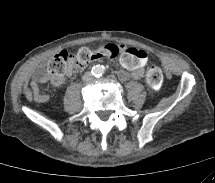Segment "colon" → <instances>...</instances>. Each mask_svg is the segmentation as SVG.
Listing matches in <instances>:
<instances>
[{
  "instance_id": "5ec220e1",
  "label": "colon",
  "mask_w": 215,
  "mask_h": 183,
  "mask_svg": "<svg viewBox=\"0 0 215 183\" xmlns=\"http://www.w3.org/2000/svg\"><path fill=\"white\" fill-rule=\"evenodd\" d=\"M124 50L126 49H122L117 45H105L96 50L83 47L75 54L60 51L49 60L47 65L48 73L52 77L62 78L67 74L71 65L83 68L93 61H108L118 56ZM145 80L148 86L153 89L161 86L163 74L155 60L150 62L145 74Z\"/></svg>"
}]
</instances>
